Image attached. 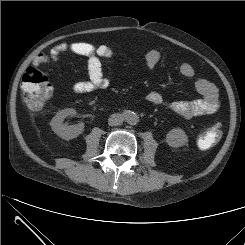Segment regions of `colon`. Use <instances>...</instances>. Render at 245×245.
Wrapping results in <instances>:
<instances>
[{"instance_id":"1","label":"colon","mask_w":245,"mask_h":245,"mask_svg":"<svg viewBox=\"0 0 245 245\" xmlns=\"http://www.w3.org/2000/svg\"><path fill=\"white\" fill-rule=\"evenodd\" d=\"M22 93L25 105L31 110H39L52 95V84L49 75L34 67H29L22 78ZM219 124L204 128L198 138L202 149L214 146L221 138Z\"/></svg>"}]
</instances>
